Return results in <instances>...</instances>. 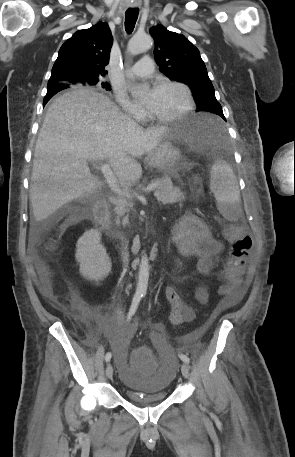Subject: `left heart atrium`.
I'll list each match as a JSON object with an SVG mask.
<instances>
[{"label": "left heart atrium", "mask_w": 295, "mask_h": 457, "mask_svg": "<svg viewBox=\"0 0 295 457\" xmlns=\"http://www.w3.org/2000/svg\"><path fill=\"white\" fill-rule=\"evenodd\" d=\"M156 92H157L156 88L152 89L149 92L148 97H147V102H151L155 98Z\"/></svg>", "instance_id": "1"}]
</instances>
